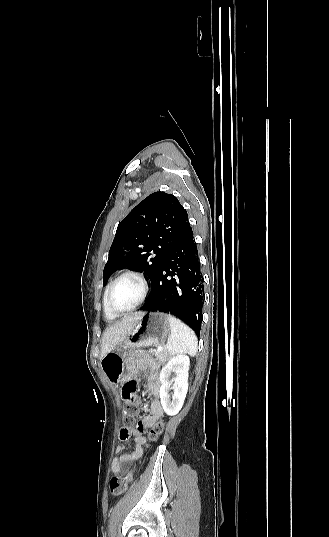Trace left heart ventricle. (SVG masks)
I'll use <instances>...</instances> for the list:
<instances>
[{
	"mask_svg": "<svg viewBox=\"0 0 329 537\" xmlns=\"http://www.w3.org/2000/svg\"><path fill=\"white\" fill-rule=\"evenodd\" d=\"M141 294L140 282L134 277H125L113 290L112 305L117 310L129 309L140 299Z\"/></svg>",
	"mask_w": 329,
	"mask_h": 537,
	"instance_id": "1",
	"label": "left heart ventricle"
}]
</instances>
